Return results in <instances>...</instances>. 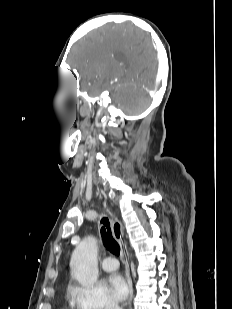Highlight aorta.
I'll return each mask as SVG.
<instances>
[{"mask_svg": "<svg viewBox=\"0 0 232 309\" xmlns=\"http://www.w3.org/2000/svg\"><path fill=\"white\" fill-rule=\"evenodd\" d=\"M97 255V240L93 236L84 238L72 254V275L83 286L93 285L98 279Z\"/></svg>", "mask_w": 232, "mask_h": 309, "instance_id": "1", "label": "aorta"}]
</instances>
